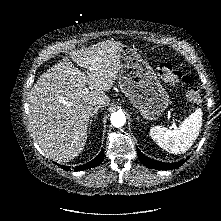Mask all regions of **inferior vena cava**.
<instances>
[{
  "mask_svg": "<svg viewBox=\"0 0 221 221\" xmlns=\"http://www.w3.org/2000/svg\"><path fill=\"white\" fill-rule=\"evenodd\" d=\"M109 102L110 99L107 95H99L94 99V104H97L98 106H106Z\"/></svg>",
  "mask_w": 221,
  "mask_h": 221,
  "instance_id": "inferior-vena-cava-1",
  "label": "inferior vena cava"
}]
</instances>
